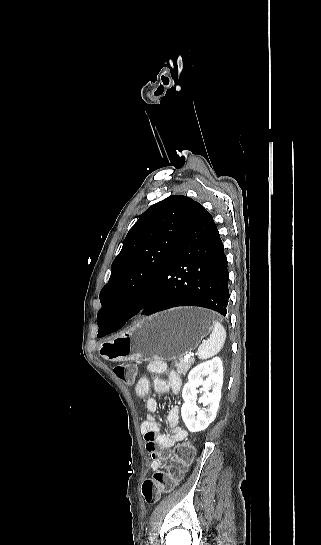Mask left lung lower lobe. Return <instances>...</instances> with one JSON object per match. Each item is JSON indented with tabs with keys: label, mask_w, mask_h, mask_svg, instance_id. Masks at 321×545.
I'll list each match as a JSON object with an SVG mask.
<instances>
[{
	"label": "left lung lower lobe",
	"mask_w": 321,
	"mask_h": 545,
	"mask_svg": "<svg viewBox=\"0 0 321 545\" xmlns=\"http://www.w3.org/2000/svg\"><path fill=\"white\" fill-rule=\"evenodd\" d=\"M228 276L227 258L216 224L211 214L198 204L153 294L139 308H147L145 314L150 315L178 306H199L226 316ZM134 314L114 310L100 337L119 330L126 322L125 317Z\"/></svg>",
	"instance_id": "1"
}]
</instances>
